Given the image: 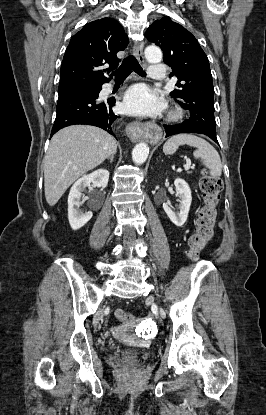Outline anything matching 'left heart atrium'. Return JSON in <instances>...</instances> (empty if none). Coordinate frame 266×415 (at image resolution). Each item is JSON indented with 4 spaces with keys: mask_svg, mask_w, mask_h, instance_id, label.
<instances>
[{
    "mask_svg": "<svg viewBox=\"0 0 266 415\" xmlns=\"http://www.w3.org/2000/svg\"><path fill=\"white\" fill-rule=\"evenodd\" d=\"M162 99L145 84L131 87L125 94L123 107L134 115H153L163 109Z\"/></svg>",
    "mask_w": 266,
    "mask_h": 415,
    "instance_id": "39dd6f15",
    "label": "left heart atrium"
}]
</instances>
